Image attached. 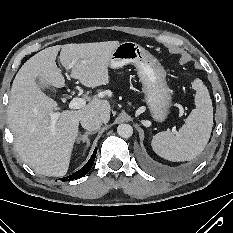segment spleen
<instances>
[{
    "label": "spleen",
    "mask_w": 233,
    "mask_h": 233,
    "mask_svg": "<svg viewBox=\"0 0 233 233\" xmlns=\"http://www.w3.org/2000/svg\"><path fill=\"white\" fill-rule=\"evenodd\" d=\"M195 109L175 134L165 131L152 139L153 150L169 161H188L197 157L207 145L213 127V106L207 87L202 80L192 82Z\"/></svg>",
    "instance_id": "spleen-1"
}]
</instances>
